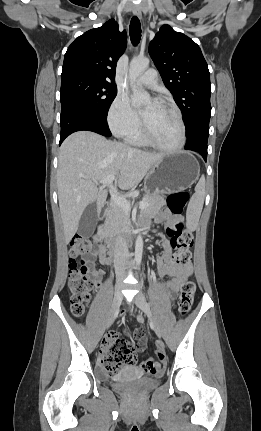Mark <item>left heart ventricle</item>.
Returning <instances> with one entry per match:
<instances>
[{
  "label": "left heart ventricle",
  "instance_id": "b2bd125f",
  "mask_svg": "<svg viewBox=\"0 0 261 431\" xmlns=\"http://www.w3.org/2000/svg\"><path fill=\"white\" fill-rule=\"evenodd\" d=\"M143 121L149 132L162 146L172 147L180 137V127L176 115L163 104L157 107L147 105L142 110Z\"/></svg>",
  "mask_w": 261,
  "mask_h": 431
}]
</instances>
